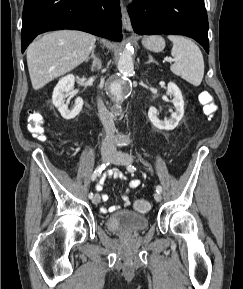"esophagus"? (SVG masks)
Listing matches in <instances>:
<instances>
[{
  "instance_id": "esophagus-1",
  "label": "esophagus",
  "mask_w": 243,
  "mask_h": 289,
  "mask_svg": "<svg viewBox=\"0 0 243 289\" xmlns=\"http://www.w3.org/2000/svg\"><path fill=\"white\" fill-rule=\"evenodd\" d=\"M120 7H121V13H122L123 27L127 31H132V25H131L130 17H129L127 8H126V6H125V4H124V2L122 0L120 2Z\"/></svg>"
}]
</instances>
